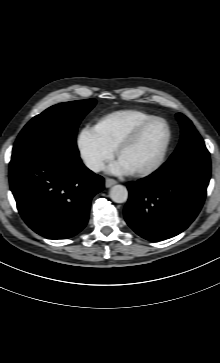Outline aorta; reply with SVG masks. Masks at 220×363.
Here are the masks:
<instances>
[{"instance_id":"obj_1","label":"aorta","mask_w":220,"mask_h":363,"mask_svg":"<svg viewBox=\"0 0 220 363\" xmlns=\"http://www.w3.org/2000/svg\"><path fill=\"white\" fill-rule=\"evenodd\" d=\"M110 198L116 203H124L128 199V190L123 185H114L110 189Z\"/></svg>"}]
</instances>
